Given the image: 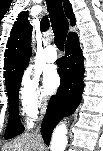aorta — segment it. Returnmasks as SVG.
Listing matches in <instances>:
<instances>
[{
    "label": "aorta",
    "mask_w": 103,
    "mask_h": 151,
    "mask_svg": "<svg viewBox=\"0 0 103 151\" xmlns=\"http://www.w3.org/2000/svg\"><path fill=\"white\" fill-rule=\"evenodd\" d=\"M68 139H67V128L64 123L59 124L51 139L50 150L51 151H65L67 146Z\"/></svg>",
    "instance_id": "obj_1"
}]
</instances>
